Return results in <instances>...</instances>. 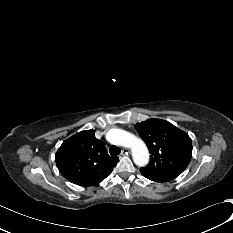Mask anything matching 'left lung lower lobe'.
Masks as SVG:
<instances>
[{
	"label": "left lung lower lobe",
	"mask_w": 233,
	"mask_h": 233,
	"mask_svg": "<svg viewBox=\"0 0 233 233\" xmlns=\"http://www.w3.org/2000/svg\"><path fill=\"white\" fill-rule=\"evenodd\" d=\"M144 177H146L147 179H149V180H152L151 178H149V177H147L146 175H144V174H142ZM152 181H154V180H152ZM157 182V181H156Z\"/></svg>",
	"instance_id": "obj_1"
}]
</instances>
